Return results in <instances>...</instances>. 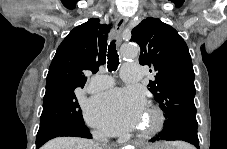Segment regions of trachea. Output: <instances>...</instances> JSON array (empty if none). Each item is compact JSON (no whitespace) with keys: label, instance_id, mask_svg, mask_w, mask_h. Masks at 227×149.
<instances>
[{"label":"trachea","instance_id":"obj_1","mask_svg":"<svg viewBox=\"0 0 227 149\" xmlns=\"http://www.w3.org/2000/svg\"><path fill=\"white\" fill-rule=\"evenodd\" d=\"M108 62L107 68L108 71H115L119 65V56L116 50L115 40H113L108 47Z\"/></svg>","mask_w":227,"mask_h":149}]
</instances>
